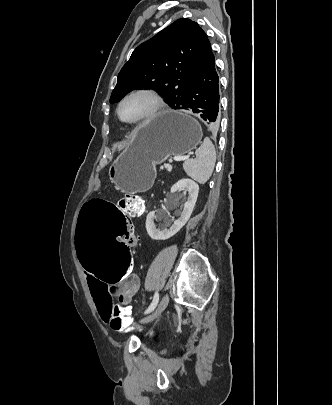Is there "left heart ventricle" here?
<instances>
[{"label": "left heart ventricle", "mask_w": 332, "mask_h": 405, "mask_svg": "<svg viewBox=\"0 0 332 405\" xmlns=\"http://www.w3.org/2000/svg\"><path fill=\"white\" fill-rule=\"evenodd\" d=\"M151 98L136 95L127 99L121 107V115L126 120H135L147 114L152 108Z\"/></svg>", "instance_id": "b2bd125f"}]
</instances>
